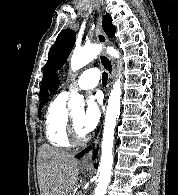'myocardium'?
<instances>
[{"instance_id":"f54148a6","label":"myocardium","mask_w":178,"mask_h":195,"mask_svg":"<svg viewBox=\"0 0 178 195\" xmlns=\"http://www.w3.org/2000/svg\"><path fill=\"white\" fill-rule=\"evenodd\" d=\"M67 136L71 144L74 146H81L88 141V137L86 135L85 136L78 135L71 115H68Z\"/></svg>"}]
</instances>
